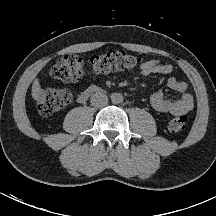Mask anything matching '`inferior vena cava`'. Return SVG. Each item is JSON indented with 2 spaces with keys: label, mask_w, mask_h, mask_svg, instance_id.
<instances>
[{
  "label": "inferior vena cava",
  "mask_w": 216,
  "mask_h": 216,
  "mask_svg": "<svg viewBox=\"0 0 216 216\" xmlns=\"http://www.w3.org/2000/svg\"><path fill=\"white\" fill-rule=\"evenodd\" d=\"M108 103V97L106 94L96 92L91 96V105L97 108L104 107Z\"/></svg>",
  "instance_id": "1"
}]
</instances>
